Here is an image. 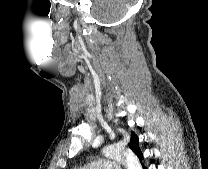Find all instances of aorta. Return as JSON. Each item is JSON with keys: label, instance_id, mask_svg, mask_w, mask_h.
Masks as SVG:
<instances>
[{"label": "aorta", "instance_id": "1", "mask_svg": "<svg viewBox=\"0 0 208 169\" xmlns=\"http://www.w3.org/2000/svg\"><path fill=\"white\" fill-rule=\"evenodd\" d=\"M102 153L107 158L121 161L127 169H141L140 162L133 152L119 145H109L103 149Z\"/></svg>", "mask_w": 208, "mask_h": 169}]
</instances>
